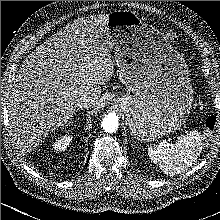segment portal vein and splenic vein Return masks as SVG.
Wrapping results in <instances>:
<instances>
[{
  "label": "portal vein and splenic vein",
  "instance_id": "portal-vein-and-splenic-vein-1",
  "mask_svg": "<svg viewBox=\"0 0 220 220\" xmlns=\"http://www.w3.org/2000/svg\"><path fill=\"white\" fill-rule=\"evenodd\" d=\"M163 145H166V146H170L171 144L167 143L166 141H163L161 142Z\"/></svg>",
  "mask_w": 220,
  "mask_h": 220
}]
</instances>
